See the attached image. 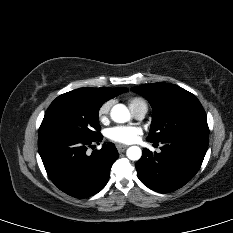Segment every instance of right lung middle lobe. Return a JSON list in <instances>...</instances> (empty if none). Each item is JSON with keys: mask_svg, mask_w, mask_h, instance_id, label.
<instances>
[{"mask_svg": "<svg viewBox=\"0 0 233 233\" xmlns=\"http://www.w3.org/2000/svg\"><path fill=\"white\" fill-rule=\"evenodd\" d=\"M102 103L70 91L58 96L48 107L38 136L64 134L86 139L99 137L98 111Z\"/></svg>", "mask_w": 233, "mask_h": 233, "instance_id": "right-lung-middle-lobe-1", "label": "right lung middle lobe"}]
</instances>
